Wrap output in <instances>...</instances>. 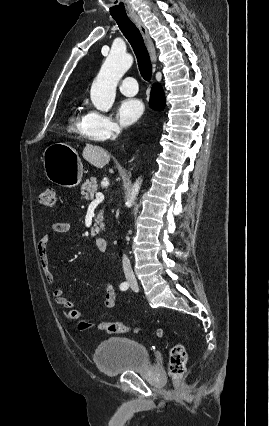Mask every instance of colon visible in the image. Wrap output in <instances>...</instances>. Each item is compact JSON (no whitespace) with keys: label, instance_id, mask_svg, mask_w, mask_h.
<instances>
[{"label":"colon","instance_id":"5ec220e1","mask_svg":"<svg viewBox=\"0 0 269 426\" xmlns=\"http://www.w3.org/2000/svg\"><path fill=\"white\" fill-rule=\"evenodd\" d=\"M40 202L47 207H55L57 203L56 192L53 188H45L40 194ZM71 319L77 322V327L81 331L97 329L110 334H122L130 331H137L122 322H91L82 319L77 310L71 312ZM158 335H163V330L158 331ZM187 354L182 344L175 343L169 352V372L173 382H177L186 371Z\"/></svg>","mask_w":269,"mask_h":426}]
</instances>
